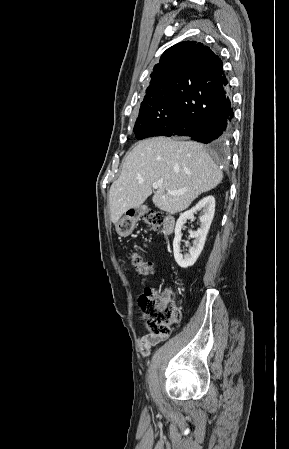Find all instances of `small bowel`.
I'll return each mask as SVG.
<instances>
[{
  "instance_id": "small-bowel-1",
  "label": "small bowel",
  "mask_w": 289,
  "mask_h": 449,
  "mask_svg": "<svg viewBox=\"0 0 289 449\" xmlns=\"http://www.w3.org/2000/svg\"><path fill=\"white\" fill-rule=\"evenodd\" d=\"M166 337L156 336L154 334L145 333L139 337V347L143 355H148L153 345L164 340Z\"/></svg>"
}]
</instances>
